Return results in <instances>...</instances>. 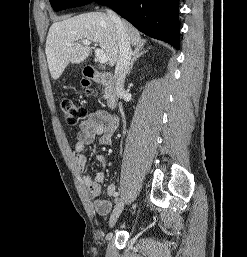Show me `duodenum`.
<instances>
[{
    "instance_id": "duodenum-1",
    "label": "duodenum",
    "mask_w": 247,
    "mask_h": 257,
    "mask_svg": "<svg viewBox=\"0 0 247 257\" xmlns=\"http://www.w3.org/2000/svg\"><path fill=\"white\" fill-rule=\"evenodd\" d=\"M84 75L87 79L92 80L105 87V101L108 108L113 109L116 105V78L113 74L108 72H100L92 66H86Z\"/></svg>"
}]
</instances>
